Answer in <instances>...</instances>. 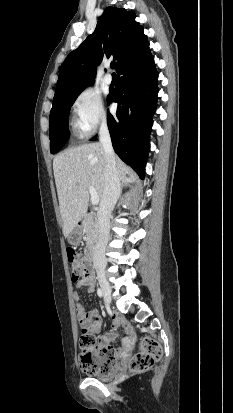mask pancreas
Here are the masks:
<instances>
[{"mask_svg":"<svg viewBox=\"0 0 233 413\" xmlns=\"http://www.w3.org/2000/svg\"><path fill=\"white\" fill-rule=\"evenodd\" d=\"M82 228L87 238V244H94L98 237V224L93 216H87L83 220Z\"/></svg>","mask_w":233,"mask_h":413,"instance_id":"pancreas-1","label":"pancreas"}]
</instances>
